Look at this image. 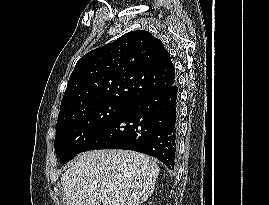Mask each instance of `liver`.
Listing matches in <instances>:
<instances>
[{"label":"liver","mask_w":269,"mask_h":205,"mask_svg":"<svg viewBox=\"0 0 269 205\" xmlns=\"http://www.w3.org/2000/svg\"><path fill=\"white\" fill-rule=\"evenodd\" d=\"M158 175L156 161L145 154L93 150L79 155L61 184L67 205H140L153 194Z\"/></svg>","instance_id":"liver-1"}]
</instances>
